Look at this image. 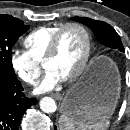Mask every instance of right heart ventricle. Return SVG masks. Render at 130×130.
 I'll use <instances>...</instances> for the list:
<instances>
[{"instance_id":"1","label":"right heart ventricle","mask_w":130,"mask_h":130,"mask_svg":"<svg viewBox=\"0 0 130 130\" xmlns=\"http://www.w3.org/2000/svg\"><path fill=\"white\" fill-rule=\"evenodd\" d=\"M60 27L61 25L41 26L32 30L24 38V46L35 61L38 63L43 61L51 39Z\"/></svg>"}]
</instances>
